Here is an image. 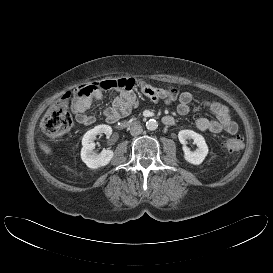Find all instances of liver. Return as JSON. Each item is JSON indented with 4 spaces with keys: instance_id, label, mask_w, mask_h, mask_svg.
<instances>
[{
    "instance_id": "6515ba94",
    "label": "liver",
    "mask_w": 273,
    "mask_h": 273,
    "mask_svg": "<svg viewBox=\"0 0 273 273\" xmlns=\"http://www.w3.org/2000/svg\"><path fill=\"white\" fill-rule=\"evenodd\" d=\"M39 145H40V148H41L46 154H51V153H52L51 148H49L46 144L40 142Z\"/></svg>"
}]
</instances>
